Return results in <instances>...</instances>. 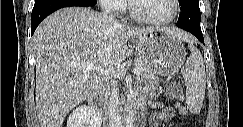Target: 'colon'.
Here are the masks:
<instances>
[{
  "label": "colon",
  "mask_w": 243,
  "mask_h": 127,
  "mask_svg": "<svg viewBox=\"0 0 243 127\" xmlns=\"http://www.w3.org/2000/svg\"><path fill=\"white\" fill-rule=\"evenodd\" d=\"M167 96L173 100H183V90L179 82L171 81L169 83L167 88Z\"/></svg>",
  "instance_id": "1"
}]
</instances>
